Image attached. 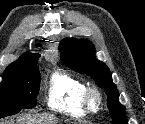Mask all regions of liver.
I'll return each mask as SVG.
<instances>
[{
    "label": "liver",
    "instance_id": "obj_1",
    "mask_svg": "<svg viewBox=\"0 0 145 124\" xmlns=\"http://www.w3.org/2000/svg\"><path fill=\"white\" fill-rule=\"evenodd\" d=\"M2 124H14L13 121H8ZM16 124H58V120L53 115H22L16 120Z\"/></svg>",
    "mask_w": 145,
    "mask_h": 124
}]
</instances>
